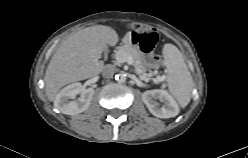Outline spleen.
I'll use <instances>...</instances> for the list:
<instances>
[{
    "mask_svg": "<svg viewBox=\"0 0 248 158\" xmlns=\"http://www.w3.org/2000/svg\"><path fill=\"white\" fill-rule=\"evenodd\" d=\"M163 56L168 75V88L178 104L184 108L191 99L193 80L184 58L178 48L172 44H165Z\"/></svg>",
    "mask_w": 248,
    "mask_h": 158,
    "instance_id": "1",
    "label": "spleen"
}]
</instances>
